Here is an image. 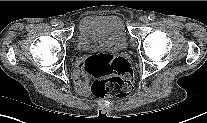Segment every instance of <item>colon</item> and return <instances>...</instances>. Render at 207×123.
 Instances as JSON below:
<instances>
[{"mask_svg":"<svg viewBox=\"0 0 207 123\" xmlns=\"http://www.w3.org/2000/svg\"><path fill=\"white\" fill-rule=\"evenodd\" d=\"M85 70L94 79L92 93L97 97H123L132 90L133 70L123 57L93 55L86 60Z\"/></svg>","mask_w":207,"mask_h":123,"instance_id":"obj_1","label":"colon"}]
</instances>
